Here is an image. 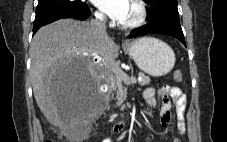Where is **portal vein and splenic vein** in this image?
I'll return each instance as SVG.
<instances>
[{
    "label": "portal vein and splenic vein",
    "mask_w": 227,
    "mask_h": 142,
    "mask_svg": "<svg viewBox=\"0 0 227 142\" xmlns=\"http://www.w3.org/2000/svg\"><path fill=\"white\" fill-rule=\"evenodd\" d=\"M116 75L118 76L119 79L123 80V82L127 85L136 83L135 77H129L126 73L122 72L121 70L116 71ZM138 80H141V78H139Z\"/></svg>",
    "instance_id": "1"
}]
</instances>
